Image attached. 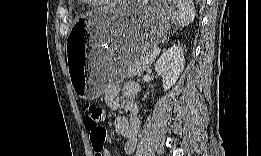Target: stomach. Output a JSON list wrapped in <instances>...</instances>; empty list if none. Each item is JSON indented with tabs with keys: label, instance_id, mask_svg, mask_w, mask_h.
Wrapping results in <instances>:
<instances>
[{
	"label": "stomach",
	"instance_id": "obj_1",
	"mask_svg": "<svg viewBox=\"0 0 261 156\" xmlns=\"http://www.w3.org/2000/svg\"><path fill=\"white\" fill-rule=\"evenodd\" d=\"M176 13L175 2H114L79 19L66 47L75 93L92 100L125 78L142 55L165 39ZM77 38L83 39L82 56L74 48Z\"/></svg>",
	"mask_w": 261,
	"mask_h": 156
}]
</instances>
